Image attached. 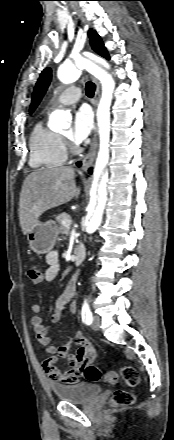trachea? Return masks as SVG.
I'll use <instances>...</instances> for the list:
<instances>
[{
	"instance_id": "1",
	"label": "trachea",
	"mask_w": 174,
	"mask_h": 440,
	"mask_svg": "<svg viewBox=\"0 0 174 440\" xmlns=\"http://www.w3.org/2000/svg\"><path fill=\"white\" fill-rule=\"evenodd\" d=\"M95 91V85L92 82H87L86 84V95L88 97H93Z\"/></svg>"
}]
</instances>
